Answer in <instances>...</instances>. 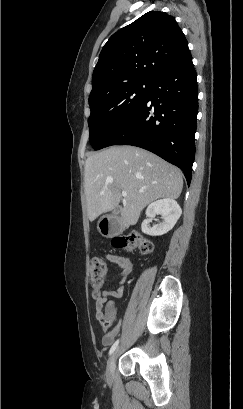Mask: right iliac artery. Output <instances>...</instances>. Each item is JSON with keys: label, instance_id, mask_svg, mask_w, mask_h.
I'll use <instances>...</instances> for the list:
<instances>
[{"label": "right iliac artery", "instance_id": "82829eb1", "mask_svg": "<svg viewBox=\"0 0 243 409\" xmlns=\"http://www.w3.org/2000/svg\"><path fill=\"white\" fill-rule=\"evenodd\" d=\"M118 343H119V340H117V341L112 345V347L110 348V351H109V355H111V354L116 350V348H117V346H118Z\"/></svg>", "mask_w": 243, "mask_h": 409}]
</instances>
